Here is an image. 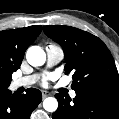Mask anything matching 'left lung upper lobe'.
<instances>
[{"mask_svg":"<svg viewBox=\"0 0 119 119\" xmlns=\"http://www.w3.org/2000/svg\"><path fill=\"white\" fill-rule=\"evenodd\" d=\"M43 30L63 48L65 71L73 74L75 92L119 95L118 71L101 39L70 26H44Z\"/></svg>","mask_w":119,"mask_h":119,"instance_id":"1","label":"left lung upper lobe"}]
</instances>
